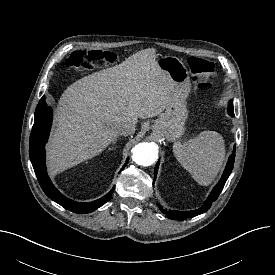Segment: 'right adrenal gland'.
Wrapping results in <instances>:
<instances>
[{"mask_svg": "<svg viewBox=\"0 0 275 275\" xmlns=\"http://www.w3.org/2000/svg\"><path fill=\"white\" fill-rule=\"evenodd\" d=\"M117 142V138H115L114 140H113V142H112V144L114 145L115 143ZM111 148H109V150H110ZM113 149V148H112Z\"/></svg>", "mask_w": 275, "mask_h": 275, "instance_id": "right-adrenal-gland-1", "label": "right adrenal gland"}]
</instances>
